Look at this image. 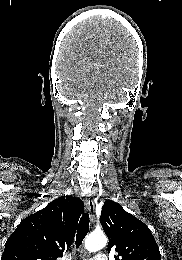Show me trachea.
Wrapping results in <instances>:
<instances>
[{"label": "trachea", "mask_w": 182, "mask_h": 260, "mask_svg": "<svg viewBox=\"0 0 182 260\" xmlns=\"http://www.w3.org/2000/svg\"><path fill=\"white\" fill-rule=\"evenodd\" d=\"M89 215L85 213L82 215L79 224L78 230L76 235V247L79 248L82 245V242L89 231Z\"/></svg>", "instance_id": "obj_1"}]
</instances>
